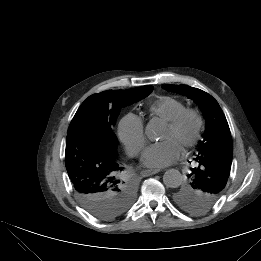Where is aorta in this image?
Returning <instances> with one entry per match:
<instances>
[{
	"instance_id": "1",
	"label": "aorta",
	"mask_w": 261,
	"mask_h": 261,
	"mask_svg": "<svg viewBox=\"0 0 261 261\" xmlns=\"http://www.w3.org/2000/svg\"><path fill=\"white\" fill-rule=\"evenodd\" d=\"M145 132L148 138L156 139L159 136L160 126L158 124L149 123ZM163 182L167 187L177 188L182 183V175L176 169H169L163 175Z\"/></svg>"
}]
</instances>
